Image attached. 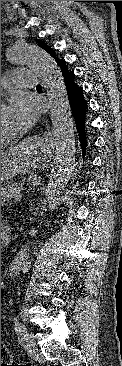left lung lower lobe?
Instances as JSON below:
<instances>
[{
    "label": "left lung lower lobe",
    "instance_id": "1",
    "mask_svg": "<svg viewBox=\"0 0 122 366\" xmlns=\"http://www.w3.org/2000/svg\"><path fill=\"white\" fill-rule=\"evenodd\" d=\"M65 83L69 104L75 119L77 131L80 136L83 156L91 148L88 130L85 128L84 116L88 112V104L84 98L83 89L75 82V74L68 69L65 60H56Z\"/></svg>",
    "mask_w": 122,
    "mask_h": 366
}]
</instances>
